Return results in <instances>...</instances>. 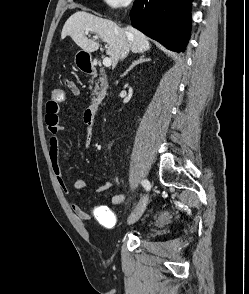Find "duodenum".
I'll return each instance as SVG.
<instances>
[{"instance_id":"duodenum-1","label":"duodenum","mask_w":249,"mask_h":294,"mask_svg":"<svg viewBox=\"0 0 249 294\" xmlns=\"http://www.w3.org/2000/svg\"><path fill=\"white\" fill-rule=\"evenodd\" d=\"M82 70L90 75H96L97 69L93 63H87L82 66ZM101 105L99 96H95L86 109V113L91 120H94Z\"/></svg>"}]
</instances>
